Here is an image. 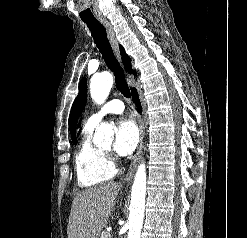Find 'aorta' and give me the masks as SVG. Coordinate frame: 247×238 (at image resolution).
<instances>
[{"mask_svg": "<svg viewBox=\"0 0 247 238\" xmlns=\"http://www.w3.org/2000/svg\"><path fill=\"white\" fill-rule=\"evenodd\" d=\"M113 85V76L103 73L94 76L90 83L92 99L97 104H102L107 99ZM114 132L107 123H101L94 134L95 144L111 143ZM146 198V167L144 163L138 166L131 191L130 214L128 220V238H140Z\"/></svg>", "mask_w": 247, "mask_h": 238, "instance_id": "1", "label": "aorta"}]
</instances>
